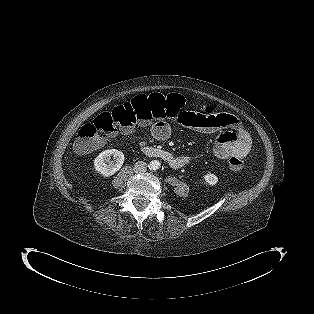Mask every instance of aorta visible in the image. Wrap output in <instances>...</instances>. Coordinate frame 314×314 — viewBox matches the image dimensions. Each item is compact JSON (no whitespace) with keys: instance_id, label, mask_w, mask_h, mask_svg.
<instances>
[{"instance_id":"aorta-1","label":"aorta","mask_w":314,"mask_h":314,"mask_svg":"<svg viewBox=\"0 0 314 314\" xmlns=\"http://www.w3.org/2000/svg\"><path fill=\"white\" fill-rule=\"evenodd\" d=\"M150 165H151V168L153 170H156V169H158L160 167V162L158 160H154V161L151 162Z\"/></svg>"}]
</instances>
